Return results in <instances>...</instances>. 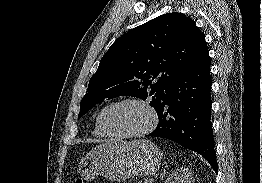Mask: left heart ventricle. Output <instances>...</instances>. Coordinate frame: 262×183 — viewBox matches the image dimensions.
Returning <instances> with one entry per match:
<instances>
[{
	"label": "left heart ventricle",
	"mask_w": 262,
	"mask_h": 183,
	"mask_svg": "<svg viewBox=\"0 0 262 183\" xmlns=\"http://www.w3.org/2000/svg\"><path fill=\"white\" fill-rule=\"evenodd\" d=\"M103 123L112 133L128 134L145 129L150 123V115L140 105L121 104L105 112Z\"/></svg>",
	"instance_id": "1"
}]
</instances>
